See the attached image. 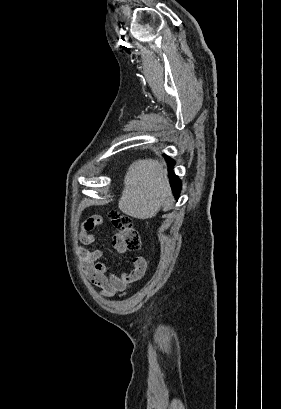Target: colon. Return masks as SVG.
Instances as JSON below:
<instances>
[{"label": "colon", "mask_w": 281, "mask_h": 409, "mask_svg": "<svg viewBox=\"0 0 281 409\" xmlns=\"http://www.w3.org/2000/svg\"><path fill=\"white\" fill-rule=\"evenodd\" d=\"M109 216L112 227L115 229L117 233V238L122 243L124 248L139 249L140 251L141 249L140 234L138 230L134 228L131 219L128 216L121 215L117 212H111Z\"/></svg>", "instance_id": "obj_1"}]
</instances>
